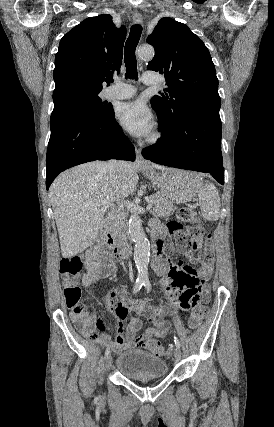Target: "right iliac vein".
Here are the masks:
<instances>
[{
  "label": "right iliac vein",
  "mask_w": 274,
  "mask_h": 427,
  "mask_svg": "<svg viewBox=\"0 0 274 427\" xmlns=\"http://www.w3.org/2000/svg\"><path fill=\"white\" fill-rule=\"evenodd\" d=\"M112 361H113V358H112L111 355H109L106 358V363H105V367H106L107 370H109L112 367Z\"/></svg>",
  "instance_id": "obj_1"
}]
</instances>
